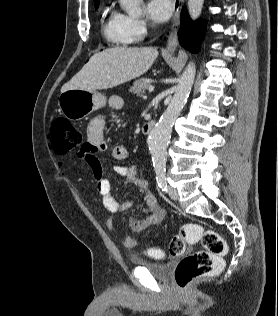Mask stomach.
I'll return each instance as SVG.
<instances>
[{
  "mask_svg": "<svg viewBox=\"0 0 278 316\" xmlns=\"http://www.w3.org/2000/svg\"><path fill=\"white\" fill-rule=\"evenodd\" d=\"M59 110L70 120H80L106 105V97L97 91L71 89L61 92Z\"/></svg>",
  "mask_w": 278,
  "mask_h": 316,
  "instance_id": "stomach-1",
  "label": "stomach"
}]
</instances>
